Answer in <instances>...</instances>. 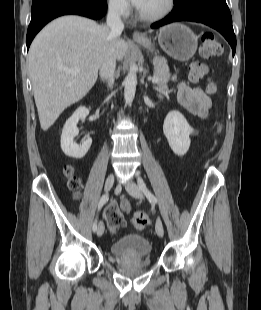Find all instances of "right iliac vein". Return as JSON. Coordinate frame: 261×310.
I'll return each instance as SVG.
<instances>
[{"label": "right iliac vein", "mask_w": 261, "mask_h": 310, "mask_svg": "<svg viewBox=\"0 0 261 310\" xmlns=\"http://www.w3.org/2000/svg\"><path fill=\"white\" fill-rule=\"evenodd\" d=\"M114 180H115L114 174H110L105 182V187H104L105 192L110 191V189L112 188L114 184ZM103 233H104V224L103 222H100L98 225V229H97V235L102 236Z\"/></svg>", "instance_id": "obj_1"}]
</instances>
